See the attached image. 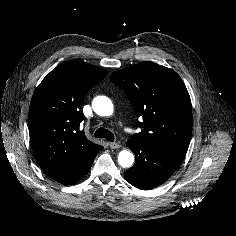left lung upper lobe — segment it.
Instances as JSON below:
<instances>
[{
	"label": "left lung upper lobe",
	"mask_w": 236,
	"mask_h": 236,
	"mask_svg": "<svg viewBox=\"0 0 236 236\" xmlns=\"http://www.w3.org/2000/svg\"><path fill=\"white\" fill-rule=\"evenodd\" d=\"M111 81L123 89L143 119L141 132L130 139L156 145L185 155L192 133L189 93L179 75L153 62L114 72Z\"/></svg>",
	"instance_id": "5c2ea615"
}]
</instances>
